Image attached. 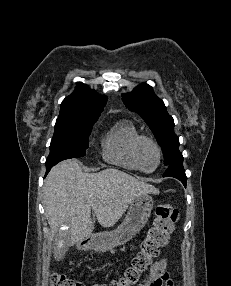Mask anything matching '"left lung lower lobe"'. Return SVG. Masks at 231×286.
<instances>
[{"label":"left lung lower lobe","mask_w":231,"mask_h":286,"mask_svg":"<svg viewBox=\"0 0 231 286\" xmlns=\"http://www.w3.org/2000/svg\"><path fill=\"white\" fill-rule=\"evenodd\" d=\"M163 176L175 177L179 179L186 187L187 177L183 168V157L167 166V170L165 171Z\"/></svg>","instance_id":"left-lung-lower-lobe-1"}]
</instances>
